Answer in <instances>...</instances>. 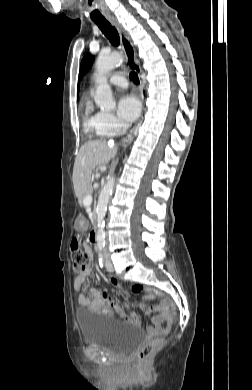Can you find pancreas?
Returning a JSON list of instances; mask_svg holds the SVG:
<instances>
[{
    "label": "pancreas",
    "instance_id": "obj_1",
    "mask_svg": "<svg viewBox=\"0 0 252 390\" xmlns=\"http://www.w3.org/2000/svg\"><path fill=\"white\" fill-rule=\"evenodd\" d=\"M84 196H85V195H84ZM79 205H80V206H84V205H85V202H84V201H80V202H79Z\"/></svg>",
    "mask_w": 252,
    "mask_h": 390
}]
</instances>
